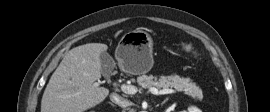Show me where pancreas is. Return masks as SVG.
Listing matches in <instances>:
<instances>
[{"instance_id": "pancreas-1", "label": "pancreas", "mask_w": 270, "mask_h": 112, "mask_svg": "<svg viewBox=\"0 0 270 112\" xmlns=\"http://www.w3.org/2000/svg\"><path fill=\"white\" fill-rule=\"evenodd\" d=\"M137 83L143 88L156 87L158 89L175 88L178 91H184L187 95L202 100L203 93L199 86L189 78L180 77L173 74L157 78L153 75H141L137 77Z\"/></svg>"}]
</instances>
